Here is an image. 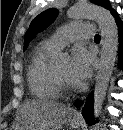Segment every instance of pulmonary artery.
Listing matches in <instances>:
<instances>
[{"mask_svg":"<svg viewBox=\"0 0 123 130\" xmlns=\"http://www.w3.org/2000/svg\"><path fill=\"white\" fill-rule=\"evenodd\" d=\"M94 36V27L91 24H70L53 34L46 41L56 50L64 48L77 39H88Z\"/></svg>","mask_w":123,"mask_h":130,"instance_id":"1","label":"pulmonary artery"}]
</instances>
